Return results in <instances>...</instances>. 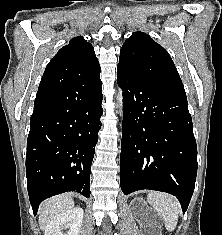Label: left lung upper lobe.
Returning a JSON list of instances; mask_svg holds the SVG:
<instances>
[{"label":"left lung upper lobe","mask_w":222,"mask_h":235,"mask_svg":"<svg viewBox=\"0 0 222 235\" xmlns=\"http://www.w3.org/2000/svg\"><path fill=\"white\" fill-rule=\"evenodd\" d=\"M118 67L186 97L184 86L170 55L144 32H135L125 41L120 50Z\"/></svg>","instance_id":"left-lung-upper-lobe-1"}]
</instances>
